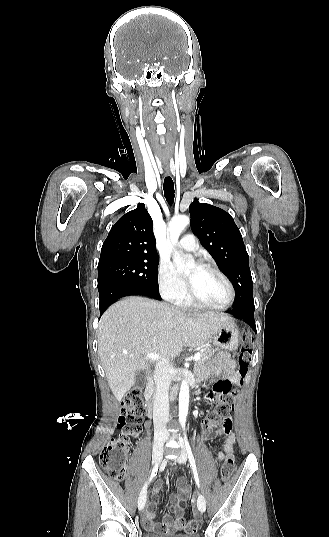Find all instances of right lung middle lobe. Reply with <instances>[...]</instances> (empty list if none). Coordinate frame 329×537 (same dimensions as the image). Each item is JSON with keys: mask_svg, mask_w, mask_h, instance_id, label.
Segmentation results:
<instances>
[{"mask_svg": "<svg viewBox=\"0 0 329 537\" xmlns=\"http://www.w3.org/2000/svg\"><path fill=\"white\" fill-rule=\"evenodd\" d=\"M158 258L113 261L98 265V284L105 281L142 286L159 291Z\"/></svg>", "mask_w": 329, "mask_h": 537, "instance_id": "dd1d6c3e", "label": "right lung middle lobe"}]
</instances>
